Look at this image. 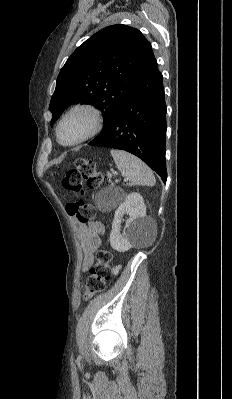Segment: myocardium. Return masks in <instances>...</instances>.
<instances>
[{
	"label": "myocardium",
	"instance_id": "obj_1",
	"mask_svg": "<svg viewBox=\"0 0 232 399\" xmlns=\"http://www.w3.org/2000/svg\"><path fill=\"white\" fill-rule=\"evenodd\" d=\"M77 110H84V111H87L88 113H90V115L92 117V128L85 136H83L79 140H76L71 143H66L63 141V139L61 137V126H62L63 122L65 121V119ZM103 127H104V116H103L102 111L97 106L92 105V104H76V105H73L72 107H70L63 114L61 119L59 120L57 127H56V135H57L58 141L62 145L74 146V145L81 144V143L89 140L90 138L96 136L99 132H101Z\"/></svg>",
	"mask_w": 232,
	"mask_h": 399
}]
</instances>
